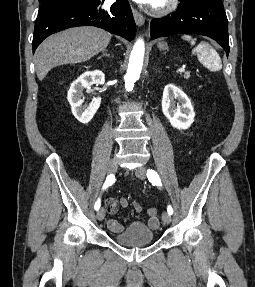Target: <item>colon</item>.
Returning a JSON list of instances; mask_svg holds the SVG:
<instances>
[{"instance_id": "obj_1", "label": "colon", "mask_w": 255, "mask_h": 287, "mask_svg": "<svg viewBox=\"0 0 255 287\" xmlns=\"http://www.w3.org/2000/svg\"><path fill=\"white\" fill-rule=\"evenodd\" d=\"M147 213H148V215H149L150 217L158 218V216H159V212H158V210H157L156 208H149V209L147 210Z\"/></svg>"}]
</instances>
